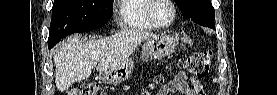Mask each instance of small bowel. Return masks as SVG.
<instances>
[{"mask_svg":"<svg viewBox=\"0 0 277 95\" xmlns=\"http://www.w3.org/2000/svg\"><path fill=\"white\" fill-rule=\"evenodd\" d=\"M166 94L199 95L207 94V89L197 79L188 78L184 72H179L171 82L161 87L157 95Z\"/></svg>","mask_w":277,"mask_h":95,"instance_id":"c3829d8e","label":"small bowel"}]
</instances>
